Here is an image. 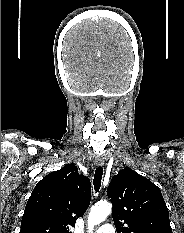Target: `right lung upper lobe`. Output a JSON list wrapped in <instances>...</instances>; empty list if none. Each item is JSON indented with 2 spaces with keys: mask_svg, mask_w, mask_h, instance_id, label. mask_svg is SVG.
<instances>
[{
  "mask_svg": "<svg viewBox=\"0 0 184 233\" xmlns=\"http://www.w3.org/2000/svg\"><path fill=\"white\" fill-rule=\"evenodd\" d=\"M90 200V180L68 164L37 183L19 233H71L69 228L86 211Z\"/></svg>",
  "mask_w": 184,
  "mask_h": 233,
  "instance_id": "cb5924a9",
  "label": "right lung upper lobe"
}]
</instances>
